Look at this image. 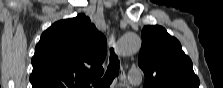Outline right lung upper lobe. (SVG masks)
Instances as JSON below:
<instances>
[{
  "label": "right lung upper lobe",
  "mask_w": 223,
  "mask_h": 88,
  "mask_svg": "<svg viewBox=\"0 0 223 88\" xmlns=\"http://www.w3.org/2000/svg\"><path fill=\"white\" fill-rule=\"evenodd\" d=\"M106 38L84 14L41 35L32 58V88H89L104 73Z\"/></svg>",
  "instance_id": "1"
}]
</instances>
